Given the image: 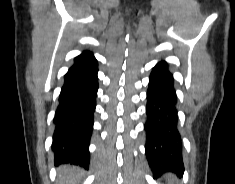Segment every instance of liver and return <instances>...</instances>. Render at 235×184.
I'll use <instances>...</instances> for the list:
<instances>
[{
	"label": "liver",
	"instance_id": "obj_1",
	"mask_svg": "<svg viewBox=\"0 0 235 184\" xmlns=\"http://www.w3.org/2000/svg\"><path fill=\"white\" fill-rule=\"evenodd\" d=\"M78 168H72V166H62L58 170V182L57 184H78Z\"/></svg>",
	"mask_w": 235,
	"mask_h": 184
}]
</instances>
